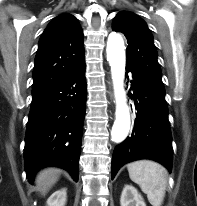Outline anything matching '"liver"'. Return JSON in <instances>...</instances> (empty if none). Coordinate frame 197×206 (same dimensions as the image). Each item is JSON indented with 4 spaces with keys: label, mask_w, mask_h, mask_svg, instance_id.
Listing matches in <instances>:
<instances>
[{
    "label": "liver",
    "mask_w": 197,
    "mask_h": 206,
    "mask_svg": "<svg viewBox=\"0 0 197 206\" xmlns=\"http://www.w3.org/2000/svg\"><path fill=\"white\" fill-rule=\"evenodd\" d=\"M59 178V170L56 168H46L41 170L36 176V185L41 195H45Z\"/></svg>",
    "instance_id": "obj_1"
}]
</instances>
